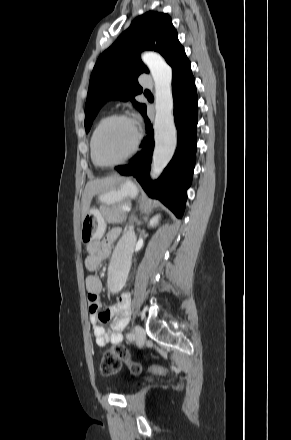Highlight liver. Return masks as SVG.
Listing matches in <instances>:
<instances>
[{"label":"liver","mask_w":291,"mask_h":440,"mask_svg":"<svg viewBox=\"0 0 291 440\" xmlns=\"http://www.w3.org/2000/svg\"><path fill=\"white\" fill-rule=\"evenodd\" d=\"M122 178L119 175H113L102 179L89 181L86 184L82 197V219L90 208V204L94 195L112 189Z\"/></svg>","instance_id":"liver-1"}]
</instances>
